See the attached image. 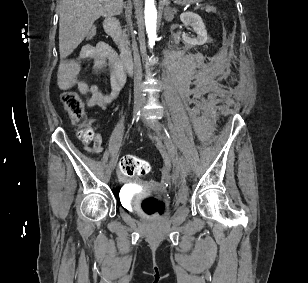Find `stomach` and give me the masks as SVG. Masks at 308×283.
I'll return each mask as SVG.
<instances>
[{"label": "stomach", "instance_id": "obj_1", "mask_svg": "<svg viewBox=\"0 0 308 283\" xmlns=\"http://www.w3.org/2000/svg\"><path fill=\"white\" fill-rule=\"evenodd\" d=\"M203 0H174L175 3L180 5H188V4H194L197 2H201Z\"/></svg>", "mask_w": 308, "mask_h": 283}]
</instances>
